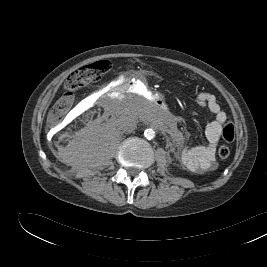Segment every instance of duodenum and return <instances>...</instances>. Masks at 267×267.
Masks as SVG:
<instances>
[{"mask_svg":"<svg viewBox=\"0 0 267 267\" xmlns=\"http://www.w3.org/2000/svg\"><path fill=\"white\" fill-rule=\"evenodd\" d=\"M140 82L138 80H131L129 84L121 83L120 87L115 88L116 94L125 93L126 91H131L133 95H137L138 98H145L150 101L156 108H164L165 103L154 93L139 90Z\"/></svg>","mask_w":267,"mask_h":267,"instance_id":"obj_1","label":"duodenum"}]
</instances>
